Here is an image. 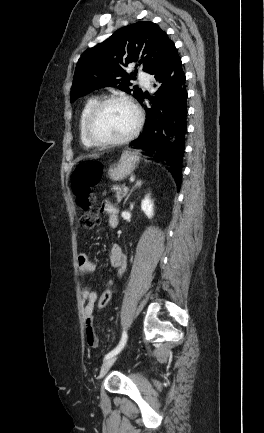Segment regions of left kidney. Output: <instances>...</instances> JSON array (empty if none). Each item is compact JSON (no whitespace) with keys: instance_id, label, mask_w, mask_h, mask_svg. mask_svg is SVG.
Wrapping results in <instances>:
<instances>
[{"instance_id":"obj_1","label":"left kidney","mask_w":264,"mask_h":433,"mask_svg":"<svg viewBox=\"0 0 264 433\" xmlns=\"http://www.w3.org/2000/svg\"><path fill=\"white\" fill-rule=\"evenodd\" d=\"M141 209H142V211L145 213V215L148 218H152L153 217V215H154V204H153V201L151 200V198H150L149 195L145 196V198L142 200Z\"/></svg>"}]
</instances>
